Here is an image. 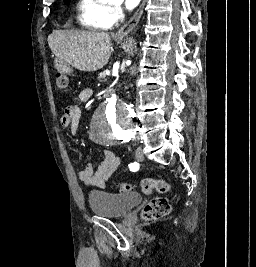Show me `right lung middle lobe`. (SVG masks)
Returning <instances> with one entry per match:
<instances>
[{"label": "right lung middle lobe", "instance_id": "1", "mask_svg": "<svg viewBox=\"0 0 256 267\" xmlns=\"http://www.w3.org/2000/svg\"><path fill=\"white\" fill-rule=\"evenodd\" d=\"M64 3H65V4H68V3H69V0H66Z\"/></svg>", "mask_w": 256, "mask_h": 267}]
</instances>
